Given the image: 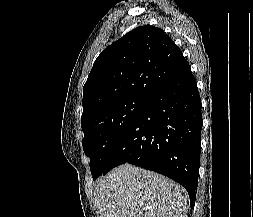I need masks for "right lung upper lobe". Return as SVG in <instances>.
Returning <instances> with one entry per match:
<instances>
[{"label":"right lung upper lobe","mask_w":253,"mask_h":217,"mask_svg":"<svg viewBox=\"0 0 253 217\" xmlns=\"http://www.w3.org/2000/svg\"><path fill=\"white\" fill-rule=\"evenodd\" d=\"M188 63L160 28L138 27L95 60L83 88L81 124L99 110L130 97L148 98Z\"/></svg>","instance_id":"cb5924a9"}]
</instances>
